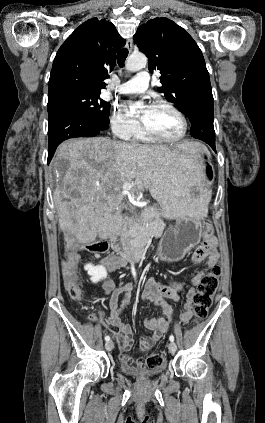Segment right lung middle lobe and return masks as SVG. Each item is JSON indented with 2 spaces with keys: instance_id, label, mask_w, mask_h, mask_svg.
I'll list each match as a JSON object with an SVG mask.
<instances>
[{
  "instance_id": "obj_1",
  "label": "right lung middle lobe",
  "mask_w": 265,
  "mask_h": 423,
  "mask_svg": "<svg viewBox=\"0 0 265 423\" xmlns=\"http://www.w3.org/2000/svg\"><path fill=\"white\" fill-rule=\"evenodd\" d=\"M99 93L67 91L48 97V112L57 108L78 109L90 117L109 124L110 103L101 99Z\"/></svg>"
}]
</instances>
